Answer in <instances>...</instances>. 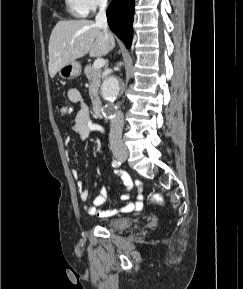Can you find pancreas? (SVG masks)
<instances>
[{"label": "pancreas", "mask_w": 243, "mask_h": 289, "mask_svg": "<svg viewBox=\"0 0 243 289\" xmlns=\"http://www.w3.org/2000/svg\"><path fill=\"white\" fill-rule=\"evenodd\" d=\"M101 69H97L92 65H86L84 68V73L89 82V95L92 102L99 99L98 90L101 83Z\"/></svg>", "instance_id": "obj_1"}]
</instances>
